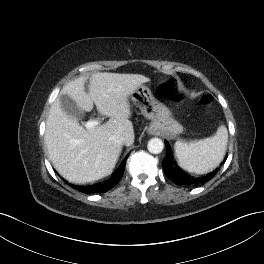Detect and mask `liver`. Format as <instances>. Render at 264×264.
<instances>
[{
	"label": "liver",
	"instance_id": "obj_1",
	"mask_svg": "<svg viewBox=\"0 0 264 264\" xmlns=\"http://www.w3.org/2000/svg\"><path fill=\"white\" fill-rule=\"evenodd\" d=\"M86 79L80 77L69 82L60 95H68L86 112L93 109L94 103L98 112L110 119L103 125L84 129L77 119L62 110L57 97L50 108L45 131V144L54 168L76 184L97 181L112 173L122 150V145L111 140L112 136L124 137L126 146L133 144L128 97L138 86L150 81L139 74L94 73L89 78L87 94Z\"/></svg>",
	"mask_w": 264,
	"mask_h": 264
}]
</instances>
